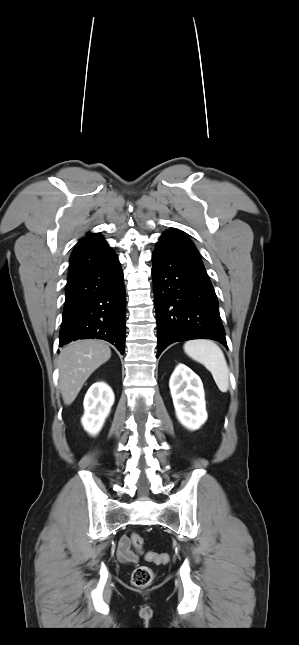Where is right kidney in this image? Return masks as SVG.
<instances>
[{
	"label": "right kidney",
	"instance_id": "right-kidney-1",
	"mask_svg": "<svg viewBox=\"0 0 299 645\" xmlns=\"http://www.w3.org/2000/svg\"><path fill=\"white\" fill-rule=\"evenodd\" d=\"M114 403V393L104 382L94 383L84 398V415L81 419L84 429L91 435H97Z\"/></svg>",
	"mask_w": 299,
	"mask_h": 645
}]
</instances>
